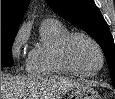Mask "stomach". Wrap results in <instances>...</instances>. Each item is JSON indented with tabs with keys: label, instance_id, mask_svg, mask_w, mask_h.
<instances>
[{
	"label": "stomach",
	"instance_id": "0dacf381",
	"mask_svg": "<svg viewBox=\"0 0 115 99\" xmlns=\"http://www.w3.org/2000/svg\"><path fill=\"white\" fill-rule=\"evenodd\" d=\"M101 99L98 92L87 84H81L73 89L69 95V99Z\"/></svg>",
	"mask_w": 115,
	"mask_h": 99
}]
</instances>
